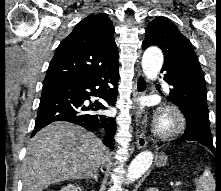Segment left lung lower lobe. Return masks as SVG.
Returning <instances> with one entry per match:
<instances>
[{
	"mask_svg": "<svg viewBox=\"0 0 221 191\" xmlns=\"http://www.w3.org/2000/svg\"><path fill=\"white\" fill-rule=\"evenodd\" d=\"M164 80L171 86L169 99L184 113L186 129L176 142L198 141L206 137L210 126L206 85L198 60L190 59L179 69H162ZM213 150V149H211Z\"/></svg>",
	"mask_w": 221,
	"mask_h": 191,
	"instance_id": "0a47b994",
	"label": "left lung lower lobe"
}]
</instances>
